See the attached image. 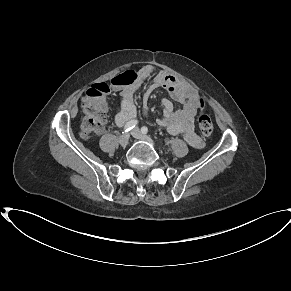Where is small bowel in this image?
I'll use <instances>...</instances> for the list:
<instances>
[{"mask_svg":"<svg viewBox=\"0 0 291 291\" xmlns=\"http://www.w3.org/2000/svg\"><path fill=\"white\" fill-rule=\"evenodd\" d=\"M153 72L154 67L151 65L142 67L136 82L122 88L121 110L114 116L116 126L120 127L135 118L137 113L134 104L135 93L141 82L151 76ZM158 88L166 89L174 101L182 104V108L174 109L173 102L164 98L161 101L163 114L156 120V123L166 127L170 134H183L185 141L190 146L201 148L203 141L194 130V117L198 110L196 90L187 82L163 71L154 77L147 94ZM143 117L147 118L145 112Z\"/></svg>","mask_w":291,"mask_h":291,"instance_id":"obj_1","label":"small bowel"}]
</instances>
